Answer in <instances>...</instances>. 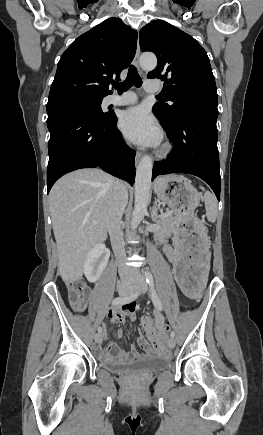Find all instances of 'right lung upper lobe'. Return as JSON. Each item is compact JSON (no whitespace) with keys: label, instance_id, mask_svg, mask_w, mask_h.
Returning <instances> with one entry per match:
<instances>
[{"label":"right lung upper lobe","instance_id":"obj_1","mask_svg":"<svg viewBox=\"0 0 263 435\" xmlns=\"http://www.w3.org/2000/svg\"><path fill=\"white\" fill-rule=\"evenodd\" d=\"M137 32L110 18L79 36L62 54L47 106L103 99L112 77L118 80L134 58Z\"/></svg>","mask_w":263,"mask_h":435}]
</instances>
